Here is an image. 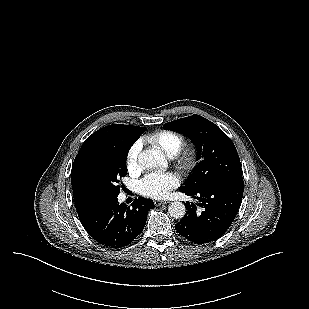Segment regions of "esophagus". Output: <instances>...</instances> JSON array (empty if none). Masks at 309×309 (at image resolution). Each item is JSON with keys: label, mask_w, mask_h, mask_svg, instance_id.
<instances>
[{"label": "esophagus", "mask_w": 309, "mask_h": 309, "mask_svg": "<svg viewBox=\"0 0 309 309\" xmlns=\"http://www.w3.org/2000/svg\"><path fill=\"white\" fill-rule=\"evenodd\" d=\"M167 203H169V202L165 201V200H155L154 201L155 206H161V205H165Z\"/></svg>", "instance_id": "1"}]
</instances>
